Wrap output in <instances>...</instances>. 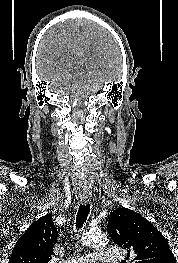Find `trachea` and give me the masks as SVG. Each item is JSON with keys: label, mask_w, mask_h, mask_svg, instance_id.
Here are the masks:
<instances>
[{"label": "trachea", "mask_w": 178, "mask_h": 263, "mask_svg": "<svg viewBox=\"0 0 178 263\" xmlns=\"http://www.w3.org/2000/svg\"><path fill=\"white\" fill-rule=\"evenodd\" d=\"M90 212V204L80 205L76 217V228L79 229L86 222Z\"/></svg>", "instance_id": "3493384b"}]
</instances>
